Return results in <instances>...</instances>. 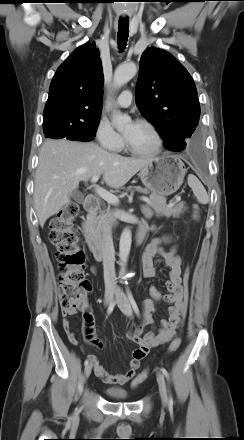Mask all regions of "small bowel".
<instances>
[{
    "label": "small bowel",
    "instance_id": "obj_1",
    "mask_svg": "<svg viewBox=\"0 0 244 440\" xmlns=\"http://www.w3.org/2000/svg\"><path fill=\"white\" fill-rule=\"evenodd\" d=\"M154 214L159 215V211H153L147 207L144 208L146 219L151 218ZM152 230L155 231L156 227L152 226ZM170 241L171 237L168 235L157 236L147 245L143 254V270L146 277L156 276L155 263L157 258L163 261L170 269L169 281L166 283L168 294H163L157 289V287L152 286L150 288L151 299H146L142 303L143 325H154L153 316L156 312V305L160 301L170 304L168 307V318L161 320L158 331L152 330L146 333L143 337H141V326H137L127 333V338L129 340H132L139 346H146L148 349L170 341L175 336L176 329L181 320L180 315L183 300L181 258L177 255L175 247H172L169 251H166L162 247L163 244L169 243ZM93 272H95L94 269ZM63 327L70 342L76 345L78 343L77 338L70 330L69 321L66 318L63 320ZM82 334L84 340L88 344L99 349L104 347L103 341L96 335L95 318L93 312L89 308L85 309L82 316ZM87 357L93 365L95 375L101 378L103 382L115 385H124L131 381L135 377L142 359L135 355L134 350L132 352L128 370L123 374H112L104 369L96 355L89 354Z\"/></svg>",
    "mask_w": 244,
    "mask_h": 440
}]
</instances>
